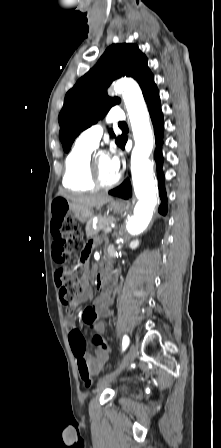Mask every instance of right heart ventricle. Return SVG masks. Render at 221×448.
I'll list each match as a JSON object with an SVG mask.
<instances>
[{
	"mask_svg": "<svg viewBox=\"0 0 221 448\" xmlns=\"http://www.w3.org/2000/svg\"><path fill=\"white\" fill-rule=\"evenodd\" d=\"M94 148L77 142L65 159L63 185L73 191L96 188L90 178L89 161Z\"/></svg>",
	"mask_w": 221,
	"mask_h": 448,
	"instance_id": "obj_1",
	"label": "right heart ventricle"
}]
</instances>
